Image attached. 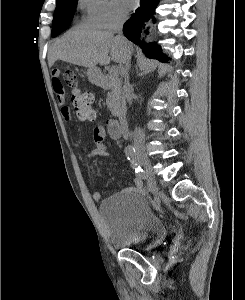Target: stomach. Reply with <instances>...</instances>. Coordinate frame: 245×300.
Wrapping results in <instances>:
<instances>
[{
  "instance_id": "1",
  "label": "stomach",
  "mask_w": 245,
  "mask_h": 300,
  "mask_svg": "<svg viewBox=\"0 0 245 300\" xmlns=\"http://www.w3.org/2000/svg\"><path fill=\"white\" fill-rule=\"evenodd\" d=\"M88 78L91 81H96L98 79L99 76V70L95 67V68H89L86 72Z\"/></svg>"
}]
</instances>
